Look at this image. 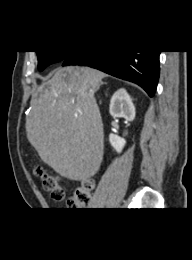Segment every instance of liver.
Instances as JSON below:
<instances>
[{
    "label": "liver",
    "instance_id": "obj_1",
    "mask_svg": "<svg viewBox=\"0 0 192 260\" xmlns=\"http://www.w3.org/2000/svg\"><path fill=\"white\" fill-rule=\"evenodd\" d=\"M105 76L90 67H64L32 97L27 139L41 160L67 179L86 181L102 163L103 123L94 93Z\"/></svg>",
    "mask_w": 192,
    "mask_h": 260
}]
</instances>
